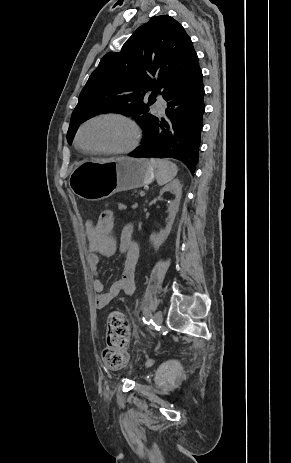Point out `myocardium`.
Returning <instances> with one entry per match:
<instances>
[{"label": "myocardium", "instance_id": "1", "mask_svg": "<svg viewBox=\"0 0 291 463\" xmlns=\"http://www.w3.org/2000/svg\"><path fill=\"white\" fill-rule=\"evenodd\" d=\"M99 120H119L126 123L131 129V140L130 142L124 147L118 148H86L83 147L80 143V137L82 131L86 126L89 124L99 121ZM141 140V129L138 123L129 115L122 113V112H106L96 114L91 116L90 118L83 121L75 134V146L84 153L87 154H104V155H124L132 152L139 144Z\"/></svg>", "mask_w": 291, "mask_h": 463}]
</instances>
